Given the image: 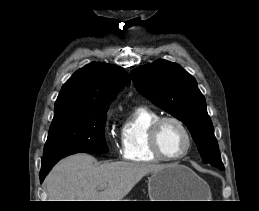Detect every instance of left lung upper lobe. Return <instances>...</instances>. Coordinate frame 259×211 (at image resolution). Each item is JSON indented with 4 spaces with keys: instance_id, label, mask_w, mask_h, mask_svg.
<instances>
[{
    "instance_id": "1",
    "label": "left lung upper lobe",
    "mask_w": 259,
    "mask_h": 211,
    "mask_svg": "<svg viewBox=\"0 0 259 211\" xmlns=\"http://www.w3.org/2000/svg\"><path fill=\"white\" fill-rule=\"evenodd\" d=\"M131 76L141 94L188 127L203 161L222 170L212 121L196 80L180 65L161 59L135 69Z\"/></svg>"
}]
</instances>
